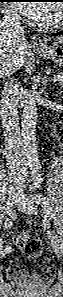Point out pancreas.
I'll use <instances>...</instances> for the list:
<instances>
[{"label": "pancreas", "instance_id": "cf45deb5", "mask_svg": "<svg viewBox=\"0 0 63 297\" xmlns=\"http://www.w3.org/2000/svg\"><path fill=\"white\" fill-rule=\"evenodd\" d=\"M57 76L63 77V73H57Z\"/></svg>", "mask_w": 63, "mask_h": 297}]
</instances>
